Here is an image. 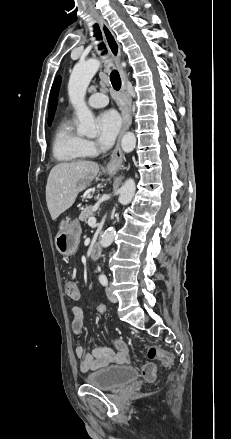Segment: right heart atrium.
<instances>
[{"label":"right heart atrium","mask_w":231,"mask_h":439,"mask_svg":"<svg viewBox=\"0 0 231 439\" xmlns=\"http://www.w3.org/2000/svg\"><path fill=\"white\" fill-rule=\"evenodd\" d=\"M84 148H85L87 155H92V154L96 153L95 144L90 140H84Z\"/></svg>","instance_id":"d8ad5b80"}]
</instances>
